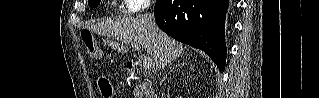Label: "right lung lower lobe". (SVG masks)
I'll return each instance as SVG.
<instances>
[{"label": "right lung lower lobe", "mask_w": 319, "mask_h": 98, "mask_svg": "<svg viewBox=\"0 0 319 98\" xmlns=\"http://www.w3.org/2000/svg\"><path fill=\"white\" fill-rule=\"evenodd\" d=\"M229 0H157V25L169 36L206 52L225 69L224 19Z\"/></svg>", "instance_id": "98d812e1"}]
</instances>
